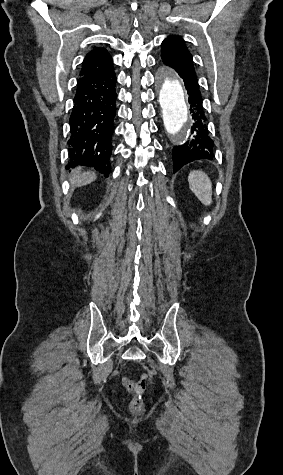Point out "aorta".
Segmentation results:
<instances>
[{"label":"aorta","instance_id":"1","mask_svg":"<svg viewBox=\"0 0 283 475\" xmlns=\"http://www.w3.org/2000/svg\"><path fill=\"white\" fill-rule=\"evenodd\" d=\"M159 86V102L165 130L175 143L182 144L186 141L192 125L182 83L175 74L161 71Z\"/></svg>","mask_w":283,"mask_h":475}]
</instances>
